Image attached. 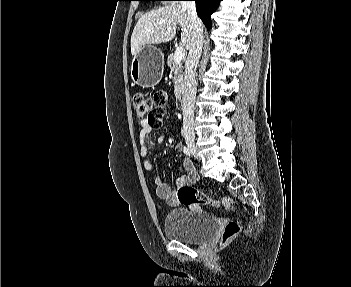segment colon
<instances>
[{
	"label": "colon",
	"mask_w": 351,
	"mask_h": 287,
	"mask_svg": "<svg viewBox=\"0 0 351 287\" xmlns=\"http://www.w3.org/2000/svg\"><path fill=\"white\" fill-rule=\"evenodd\" d=\"M167 100L168 95L165 91H158L154 95L136 93L133 97V105L137 118L146 120L147 124L153 129L160 128L167 111ZM177 198L180 203L185 205L200 203L214 207L232 208L234 206V201L230 198L211 196L189 185H184L178 189ZM239 231L240 224L238 222H228L221 236V244H227Z\"/></svg>",
	"instance_id": "1"
}]
</instances>
